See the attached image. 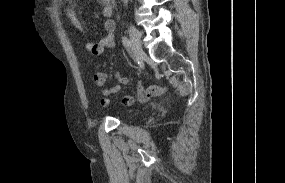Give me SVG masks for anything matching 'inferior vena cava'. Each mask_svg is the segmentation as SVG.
Segmentation results:
<instances>
[{
    "instance_id": "602c4592",
    "label": "inferior vena cava",
    "mask_w": 285,
    "mask_h": 183,
    "mask_svg": "<svg viewBox=\"0 0 285 183\" xmlns=\"http://www.w3.org/2000/svg\"><path fill=\"white\" fill-rule=\"evenodd\" d=\"M128 0H124L125 3H127Z\"/></svg>"
}]
</instances>
